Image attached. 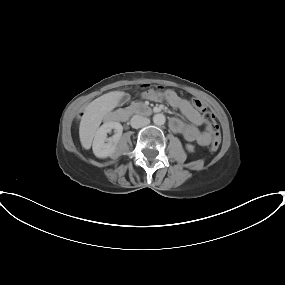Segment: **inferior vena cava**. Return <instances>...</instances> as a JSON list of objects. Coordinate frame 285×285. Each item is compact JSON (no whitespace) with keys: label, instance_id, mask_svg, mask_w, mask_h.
Wrapping results in <instances>:
<instances>
[{"label":"inferior vena cava","instance_id":"1","mask_svg":"<svg viewBox=\"0 0 285 285\" xmlns=\"http://www.w3.org/2000/svg\"><path fill=\"white\" fill-rule=\"evenodd\" d=\"M130 123L133 128L138 129L147 126L150 123V120L140 115H134L131 118Z\"/></svg>","mask_w":285,"mask_h":285}]
</instances>
